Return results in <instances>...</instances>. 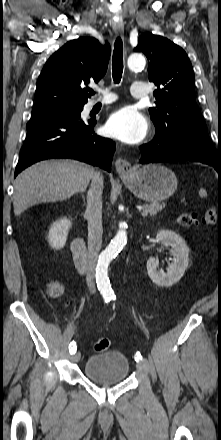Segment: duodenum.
<instances>
[{"mask_svg":"<svg viewBox=\"0 0 221 440\" xmlns=\"http://www.w3.org/2000/svg\"><path fill=\"white\" fill-rule=\"evenodd\" d=\"M74 263L78 271L85 272L88 267V255L85 241L82 237H76L72 242Z\"/></svg>","mask_w":221,"mask_h":440,"instance_id":"obj_1","label":"duodenum"}]
</instances>
